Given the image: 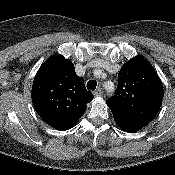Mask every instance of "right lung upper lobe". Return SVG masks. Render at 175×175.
Returning a JSON list of instances; mask_svg holds the SVG:
<instances>
[{"mask_svg":"<svg viewBox=\"0 0 175 175\" xmlns=\"http://www.w3.org/2000/svg\"><path fill=\"white\" fill-rule=\"evenodd\" d=\"M32 100L39 116L57 130H68L82 117L93 95L73 63L57 54L45 61L35 75Z\"/></svg>","mask_w":175,"mask_h":175,"instance_id":"right-lung-upper-lobe-1","label":"right lung upper lobe"}]
</instances>
